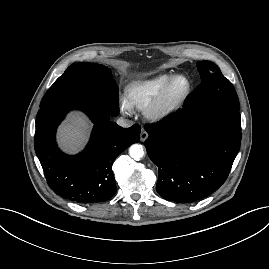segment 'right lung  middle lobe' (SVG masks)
<instances>
[{
    "label": "right lung middle lobe",
    "instance_id": "dd1d6c3e",
    "mask_svg": "<svg viewBox=\"0 0 269 269\" xmlns=\"http://www.w3.org/2000/svg\"><path fill=\"white\" fill-rule=\"evenodd\" d=\"M63 100L92 105L113 116L119 113L118 86L111 70L101 64H72L46 92L40 107Z\"/></svg>",
    "mask_w": 269,
    "mask_h": 269
}]
</instances>
